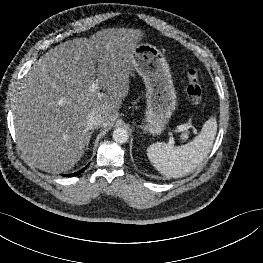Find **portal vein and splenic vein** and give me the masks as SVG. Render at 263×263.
<instances>
[{"label": "portal vein and splenic vein", "instance_id": "portal-vein-and-splenic-vein-1", "mask_svg": "<svg viewBox=\"0 0 263 263\" xmlns=\"http://www.w3.org/2000/svg\"><path fill=\"white\" fill-rule=\"evenodd\" d=\"M98 87H99V83H98V81H95V82L91 85V87L89 88V90H90L91 92H96V91L98 90ZM169 144L172 145V146H175V141H174L173 136H170V138H169Z\"/></svg>", "mask_w": 263, "mask_h": 263}]
</instances>
